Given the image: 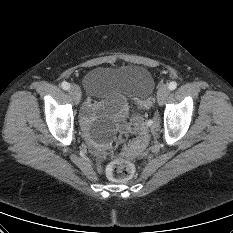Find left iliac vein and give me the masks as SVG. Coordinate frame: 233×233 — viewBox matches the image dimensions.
<instances>
[{"label":"left iliac vein","mask_w":233,"mask_h":233,"mask_svg":"<svg viewBox=\"0 0 233 233\" xmlns=\"http://www.w3.org/2000/svg\"><path fill=\"white\" fill-rule=\"evenodd\" d=\"M168 94H169V89L166 85H162L159 87L157 91V101L159 105H162L164 103Z\"/></svg>","instance_id":"1"}]
</instances>
